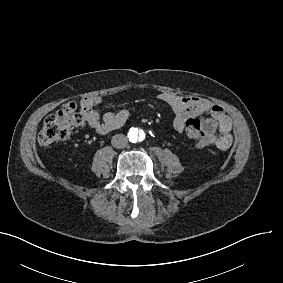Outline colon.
<instances>
[{
    "instance_id": "1",
    "label": "colon",
    "mask_w": 283,
    "mask_h": 283,
    "mask_svg": "<svg viewBox=\"0 0 283 283\" xmlns=\"http://www.w3.org/2000/svg\"><path fill=\"white\" fill-rule=\"evenodd\" d=\"M70 105L46 118L38 136L41 145L67 140L74 130L84 126L85 119L74 107L75 102L71 101ZM186 123L185 134L191 136L194 144L198 145V140L204 136L203 131L200 130V121L193 116H188Z\"/></svg>"
}]
</instances>
